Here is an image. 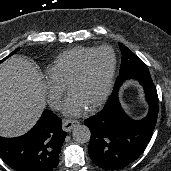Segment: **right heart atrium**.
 I'll return each instance as SVG.
<instances>
[{"label": "right heart atrium", "instance_id": "1", "mask_svg": "<svg viewBox=\"0 0 171 171\" xmlns=\"http://www.w3.org/2000/svg\"><path fill=\"white\" fill-rule=\"evenodd\" d=\"M43 86L50 106L59 109L66 86L54 79L49 73H46L43 77Z\"/></svg>", "mask_w": 171, "mask_h": 171}]
</instances>
